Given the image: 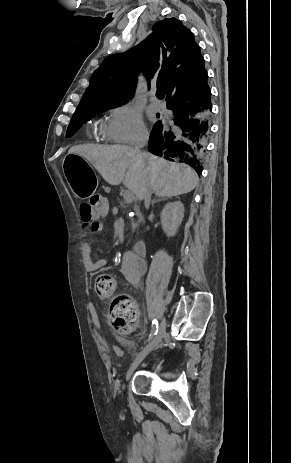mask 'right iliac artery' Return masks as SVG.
<instances>
[{
  "instance_id": "1",
  "label": "right iliac artery",
  "mask_w": 291,
  "mask_h": 463,
  "mask_svg": "<svg viewBox=\"0 0 291 463\" xmlns=\"http://www.w3.org/2000/svg\"><path fill=\"white\" fill-rule=\"evenodd\" d=\"M157 331H158V321L156 319H154L152 321V330H151V337H153L154 335L157 334Z\"/></svg>"
}]
</instances>
